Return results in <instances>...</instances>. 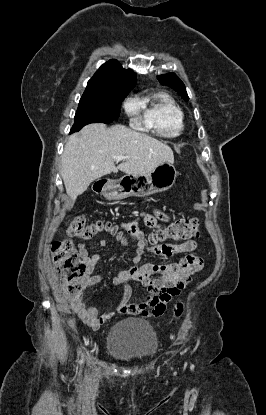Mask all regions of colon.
<instances>
[{
	"instance_id": "5ec220e1",
	"label": "colon",
	"mask_w": 266,
	"mask_h": 415,
	"mask_svg": "<svg viewBox=\"0 0 266 415\" xmlns=\"http://www.w3.org/2000/svg\"><path fill=\"white\" fill-rule=\"evenodd\" d=\"M108 231L121 236L116 226L110 222L96 221L89 223L82 215L71 218L67 223V234L71 237L90 239L100 231ZM198 221L195 218H181L167 226L157 228L150 236L153 244L166 241H187L198 236ZM52 256L57 275L64 281L68 290L76 295L81 288V280L86 276L88 268L85 260L77 252L71 240L60 238L52 245ZM184 307L177 303L174 307L176 316H181Z\"/></svg>"
}]
</instances>
